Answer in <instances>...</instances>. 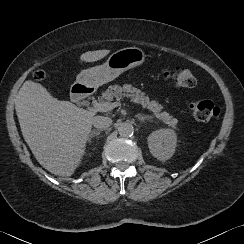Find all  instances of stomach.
Listing matches in <instances>:
<instances>
[{
    "mask_svg": "<svg viewBox=\"0 0 244 244\" xmlns=\"http://www.w3.org/2000/svg\"><path fill=\"white\" fill-rule=\"evenodd\" d=\"M145 60L146 54L141 48L127 47L117 50L108 57L103 65L81 71L72 87L82 85L96 89L113 81L125 71L142 65Z\"/></svg>",
    "mask_w": 244,
    "mask_h": 244,
    "instance_id": "stomach-1",
    "label": "stomach"
}]
</instances>
